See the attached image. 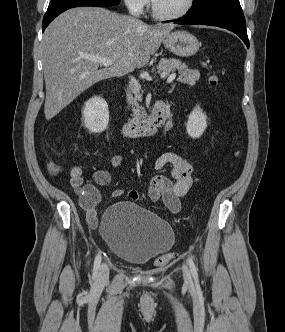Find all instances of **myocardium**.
<instances>
[{"label": "myocardium", "mask_w": 285, "mask_h": 332, "mask_svg": "<svg viewBox=\"0 0 285 332\" xmlns=\"http://www.w3.org/2000/svg\"><path fill=\"white\" fill-rule=\"evenodd\" d=\"M195 3V0H188L186 6L178 13L175 14H162L159 13L154 5L153 0H151V15L158 20L161 21H175L178 19H181L182 17H184L185 15H187L190 10L193 8Z\"/></svg>", "instance_id": "myocardium-1"}]
</instances>
